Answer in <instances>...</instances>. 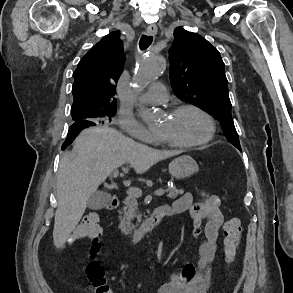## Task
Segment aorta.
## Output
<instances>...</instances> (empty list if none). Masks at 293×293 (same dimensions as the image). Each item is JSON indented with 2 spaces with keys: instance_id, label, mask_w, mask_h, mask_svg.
Segmentation results:
<instances>
[{
  "instance_id": "1",
  "label": "aorta",
  "mask_w": 293,
  "mask_h": 293,
  "mask_svg": "<svg viewBox=\"0 0 293 293\" xmlns=\"http://www.w3.org/2000/svg\"><path fill=\"white\" fill-rule=\"evenodd\" d=\"M164 67L165 60L162 56L155 54L143 56L133 77L135 89L142 90L156 80L162 74ZM139 113L145 123L151 124L154 121V115L149 109L141 107Z\"/></svg>"
}]
</instances>
